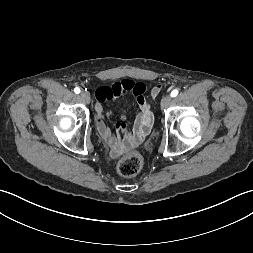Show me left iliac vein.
<instances>
[{
    "instance_id": "4c4485c4",
    "label": "left iliac vein",
    "mask_w": 253,
    "mask_h": 253,
    "mask_svg": "<svg viewBox=\"0 0 253 253\" xmlns=\"http://www.w3.org/2000/svg\"><path fill=\"white\" fill-rule=\"evenodd\" d=\"M171 102V97L170 96H164L161 100V108L165 109L169 106Z\"/></svg>"
}]
</instances>
